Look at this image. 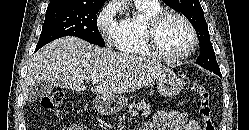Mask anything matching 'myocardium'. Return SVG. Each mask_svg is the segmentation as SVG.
Instances as JSON below:
<instances>
[{"label":"myocardium","mask_w":249,"mask_h":130,"mask_svg":"<svg viewBox=\"0 0 249 130\" xmlns=\"http://www.w3.org/2000/svg\"><path fill=\"white\" fill-rule=\"evenodd\" d=\"M169 17H175L181 20L185 24L190 33V38H191L190 45L188 49L179 56L168 55L161 49L159 45L158 41L159 28L161 24ZM144 32H145V40L147 47L150 50V52L153 54V56L169 63H180L187 60L193 54L198 44L197 32L191 21L182 13L173 10H162L152 15L150 18H148L145 23Z\"/></svg>","instance_id":"myocardium-1"}]
</instances>
